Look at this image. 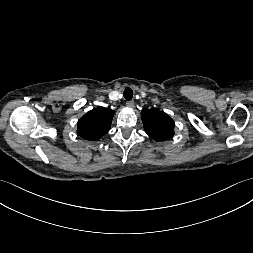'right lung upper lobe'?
I'll list each match as a JSON object with an SVG mask.
<instances>
[{"mask_svg":"<svg viewBox=\"0 0 253 253\" xmlns=\"http://www.w3.org/2000/svg\"><path fill=\"white\" fill-rule=\"evenodd\" d=\"M113 115V110L104 107L89 111L78 121V135L88 140L100 139L110 130Z\"/></svg>","mask_w":253,"mask_h":253,"instance_id":"right-lung-upper-lobe-1","label":"right lung upper lobe"}]
</instances>
